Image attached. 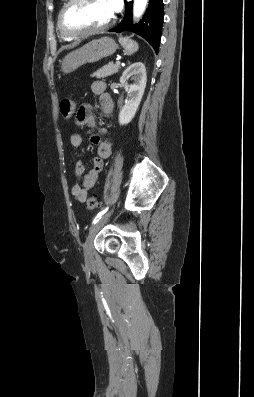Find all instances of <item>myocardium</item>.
Wrapping results in <instances>:
<instances>
[{
	"label": "myocardium",
	"instance_id": "myocardium-1",
	"mask_svg": "<svg viewBox=\"0 0 254 397\" xmlns=\"http://www.w3.org/2000/svg\"><path fill=\"white\" fill-rule=\"evenodd\" d=\"M82 1H84V0H67V2L64 4L62 9L60 10V13L58 15L57 24H58L59 31L63 35L70 37V38H78V37L93 35V34L101 33L103 31L107 30L114 24L115 17L112 16L111 19L107 23H105L102 26L96 27V28L83 29V30L68 29L64 24L65 14L73 4L82 2Z\"/></svg>",
	"mask_w": 254,
	"mask_h": 397
}]
</instances>
